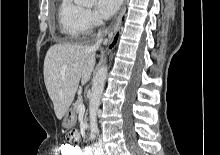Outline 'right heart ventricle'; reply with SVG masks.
<instances>
[{
    "mask_svg": "<svg viewBox=\"0 0 220 155\" xmlns=\"http://www.w3.org/2000/svg\"><path fill=\"white\" fill-rule=\"evenodd\" d=\"M59 28L70 40H78L86 33L85 9L75 0H61L57 11Z\"/></svg>",
    "mask_w": 220,
    "mask_h": 155,
    "instance_id": "obj_1",
    "label": "right heart ventricle"
}]
</instances>
